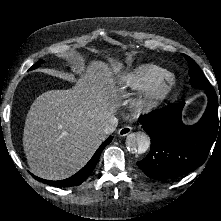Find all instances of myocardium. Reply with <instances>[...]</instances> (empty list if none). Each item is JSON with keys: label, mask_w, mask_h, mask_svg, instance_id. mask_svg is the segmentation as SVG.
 Segmentation results:
<instances>
[{"label": "myocardium", "mask_w": 221, "mask_h": 221, "mask_svg": "<svg viewBox=\"0 0 221 221\" xmlns=\"http://www.w3.org/2000/svg\"><path fill=\"white\" fill-rule=\"evenodd\" d=\"M174 84L175 79L171 75H168L164 79L156 82L139 96L135 102V108L140 112L156 109L167 99Z\"/></svg>", "instance_id": "1"}]
</instances>
